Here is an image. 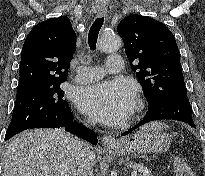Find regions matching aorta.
<instances>
[{"label": "aorta", "mask_w": 205, "mask_h": 176, "mask_svg": "<svg viewBox=\"0 0 205 176\" xmlns=\"http://www.w3.org/2000/svg\"><path fill=\"white\" fill-rule=\"evenodd\" d=\"M121 39L115 34L105 35L99 44V48L103 52H113L119 49Z\"/></svg>", "instance_id": "aorta-1"}]
</instances>
